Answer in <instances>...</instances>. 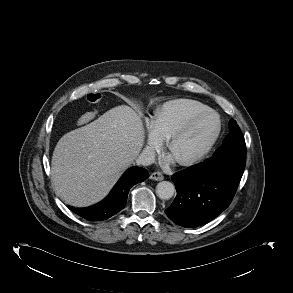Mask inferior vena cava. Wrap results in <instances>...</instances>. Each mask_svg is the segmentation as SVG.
Returning a JSON list of instances; mask_svg holds the SVG:
<instances>
[{
  "mask_svg": "<svg viewBox=\"0 0 293 293\" xmlns=\"http://www.w3.org/2000/svg\"><path fill=\"white\" fill-rule=\"evenodd\" d=\"M155 162V151L145 148L136 159L137 165L149 166Z\"/></svg>",
  "mask_w": 293,
  "mask_h": 293,
  "instance_id": "inferior-vena-cava-1",
  "label": "inferior vena cava"
}]
</instances>
